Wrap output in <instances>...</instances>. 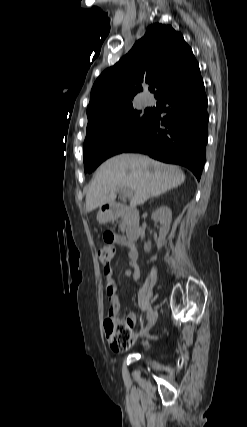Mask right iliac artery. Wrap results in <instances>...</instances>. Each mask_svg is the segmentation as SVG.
<instances>
[{
  "label": "right iliac artery",
  "instance_id": "obj_1",
  "mask_svg": "<svg viewBox=\"0 0 247 427\" xmlns=\"http://www.w3.org/2000/svg\"><path fill=\"white\" fill-rule=\"evenodd\" d=\"M151 313H152V310L150 309V310L147 312V318H149V317H150Z\"/></svg>",
  "mask_w": 247,
  "mask_h": 427
}]
</instances>
